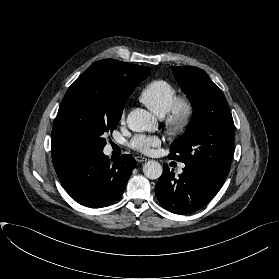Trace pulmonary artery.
I'll return each instance as SVG.
<instances>
[{
    "label": "pulmonary artery",
    "instance_id": "e3ab8cb5",
    "mask_svg": "<svg viewBox=\"0 0 279 279\" xmlns=\"http://www.w3.org/2000/svg\"><path fill=\"white\" fill-rule=\"evenodd\" d=\"M184 168V164L180 165V170H182Z\"/></svg>",
    "mask_w": 279,
    "mask_h": 279
}]
</instances>
